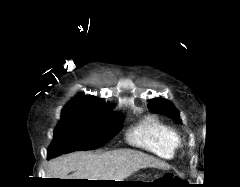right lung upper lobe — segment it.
I'll use <instances>...</instances> for the list:
<instances>
[{"mask_svg": "<svg viewBox=\"0 0 240 187\" xmlns=\"http://www.w3.org/2000/svg\"><path fill=\"white\" fill-rule=\"evenodd\" d=\"M63 110L85 111L94 113H111L109 106L92 96L78 95Z\"/></svg>", "mask_w": 240, "mask_h": 187, "instance_id": "1", "label": "right lung upper lobe"}]
</instances>
